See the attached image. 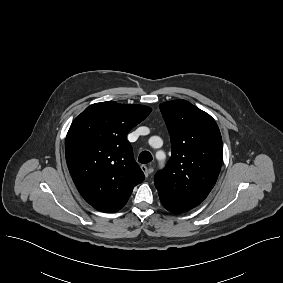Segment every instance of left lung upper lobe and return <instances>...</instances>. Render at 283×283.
Returning a JSON list of instances; mask_svg holds the SVG:
<instances>
[{
  "instance_id": "5c2ea615",
  "label": "left lung upper lobe",
  "mask_w": 283,
  "mask_h": 283,
  "mask_svg": "<svg viewBox=\"0 0 283 283\" xmlns=\"http://www.w3.org/2000/svg\"><path fill=\"white\" fill-rule=\"evenodd\" d=\"M172 145L166 167L154 178L160 200L174 213L198 206L214 187L222 163L215 120L186 100L160 104Z\"/></svg>"
}]
</instances>
